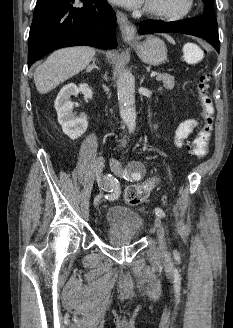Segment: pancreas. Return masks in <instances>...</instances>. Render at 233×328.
I'll return each mask as SVG.
<instances>
[{"label":"pancreas","mask_w":233,"mask_h":328,"mask_svg":"<svg viewBox=\"0 0 233 328\" xmlns=\"http://www.w3.org/2000/svg\"><path fill=\"white\" fill-rule=\"evenodd\" d=\"M156 80L161 81L163 83V86L167 89H172L175 85L174 77L167 73L158 74L156 76Z\"/></svg>","instance_id":"obj_1"}]
</instances>
